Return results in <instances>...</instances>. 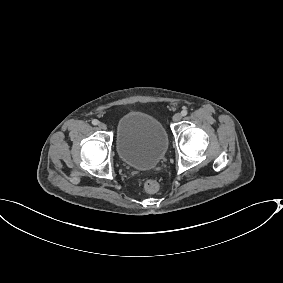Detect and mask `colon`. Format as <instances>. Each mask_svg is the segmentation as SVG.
<instances>
[{"label":"colon","instance_id":"obj_1","mask_svg":"<svg viewBox=\"0 0 283 283\" xmlns=\"http://www.w3.org/2000/svg\"><path fill=\"white\" fill-rule=\"evenodd\" d=\"M144 190L147 193L153 194V193H157L160 189V185L156 180L153 179H148L144 182Z\"/></svg>","mask_w":283,"mask_h":283}]
</instances>
